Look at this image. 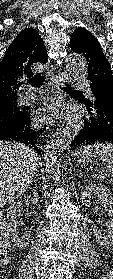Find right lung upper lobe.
Instances as JSON below:
<instances>
[{
	"label": "right lung upper lobe",
	"instance_id": "cb5924a9",
	"mask_svg": "<svg viewBox=\"0 0 113 279\" xmlns=\"http://www.w3.org/2000/svg\"><path fill=\"white\" fill-rule=\"evenodd\" d=\"M44 42L33 28L21 31L12 41L0 63V108L16 103L17 89L24 76H33V63H46Z\"/></svg>",
	"mask_w": 113,
	"mask_h": 279
}]
</instances>
